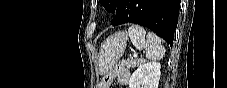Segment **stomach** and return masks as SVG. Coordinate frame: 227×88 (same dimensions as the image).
Segmentation results:
<instances>
[{"instance_id":"0dacf381","label":"stomach","mask_w":227,"mask_h":88,"mask_svg":"<svg viewBox=\"0 0 227 88\" xmlns=\"http://www.w3.org/2000/svg\"><path fill=\"white\" fill-rule=\"evenodd\" d=\"M127 40V32L120 31L102 43L98 56V70L101 74L108 73L115 66L125 51Z\"/></svg>"}]
</instances>
